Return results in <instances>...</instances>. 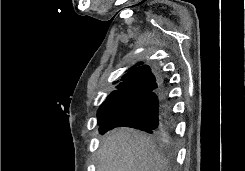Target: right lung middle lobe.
Instances as JSON below:
<instances>
[{
  "instance_id": "obj_1",
  "label": "right lung middle lobe",
  "mask_w": 245,
  "mask_h": 171,
  "mask_svg": "<svg viewBox=\"0 0 245 171\" xmlns=\"http://www.w3.org/2000/svg\"><path fill=\"white\" fill-rule=\"evenodd\" d=\"M117 103L111 102V103H103L97 112V117H98V124L100 125L106 115L110 112V110L115 107Z\"/></svg>"
}]
</instances>
